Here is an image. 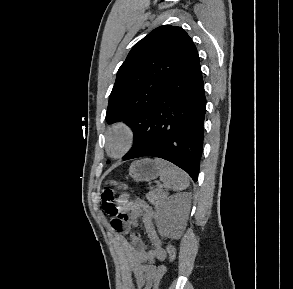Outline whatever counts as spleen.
I'll return each mask as SVG.
<instances>
[{"instance_id": "obj_1", "label": "spleen", "mask_w": 293, "mask_h": 289, "mask_svg": "<svg viewBox=\"0 0 293 289\" xmlns=\"http://www.w3.org/2000/svg\"><path fill=\"white\" fill-rule=\"evenodd\" d=\"M155 164L159 169L160 180L173 191H182L189 186L188 175L174 164L156 158Z\"/></svg>"}]
</instances>
